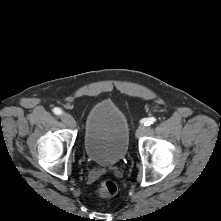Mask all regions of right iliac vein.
<instances>
[{"mask_svg":"<svg viewBox=\"0 0 221 221\" xmlns=\"http://www.w3.org/2000/svg\"><path fill=\"white\" fill-rule=\"evenodd\" d=\"M61 119L69 127H75L76 126V122H75L74 118L71 115L67 114V113H63L61 115Z\"/></svg>","mask_w":221,"mask_h":221,"instance_id":"right-iliac-vein-1","label":"right iliac vein"}]
</instances>
